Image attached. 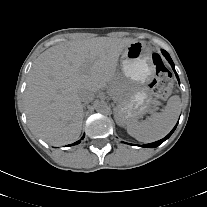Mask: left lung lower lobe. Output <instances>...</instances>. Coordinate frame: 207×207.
I'll return each mask as SVG.
<instances>
[{
    "mask_svg": "<svg viewBox=\"0 0 207 207\" xmlns=\"http://www.w3.org/2000/svg\"><path fill=\"white\" fill-rule=\"evenodd\" d=\"M161 51H162V54L165 56V58L168 60V62L171 64V66H172V68H173V70H174V72L176 74V77H177V79L179 81V78H178V75H177V73L175 71V66H174V63H173L172 59L170 58L169 54L165 50H161ZM176 126H177V124H176ZM176 126L173 128V130L165 138H163V139H161L159 141H156L154 143L142 145V147L155 148V147L159 146L161 143H163L166 139H168L171 136V134L176 129Z\"/></svg>",
    "mask_w": 207,
    "mask_h": 207,
    "instance_id": "0a47b994",
    "label": "left lung lower lobe"
}]
</instances>
